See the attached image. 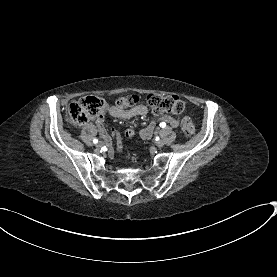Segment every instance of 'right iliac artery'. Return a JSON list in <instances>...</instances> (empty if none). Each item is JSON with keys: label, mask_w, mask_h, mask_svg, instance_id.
I'll return each mask as SVG.
<instances>
[{"label": "right iliac artery", "mask_w": 277, "mask_h": 277, "mask_svg": "<svg viewBox=\"0 0 277 277\" xmlns=\"http://www.w3.org/2000/svg\"><path fill=\"white\" fill-rule=\"evenodd\" d=\"M93 142H94L95 144L98 143V139L95 138V139L93 140Z\"/></svg>", "instance_id": "obj_1"}]
</instances>
